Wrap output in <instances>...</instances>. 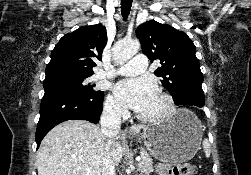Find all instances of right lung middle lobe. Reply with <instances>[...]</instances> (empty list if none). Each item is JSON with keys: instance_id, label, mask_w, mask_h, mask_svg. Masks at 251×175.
<instances>
[{"instance_id": "dd1d6c3e", "label": "right lung middle lobe", "mask_w": 251, "mask_h": 175, "mask_svg": "<svg viewBox=\"0 0 251 175\" xmlns=\"http://www.w3.org/2000/svg\"><path fill=\"white\" fill-rule=\"evenodd\" d=\"M89 76H56L45 78L44 89L52 86L68 87L84 94L95 92L92 85H84L83 82Z\"/></svg>"}]
</instances>
